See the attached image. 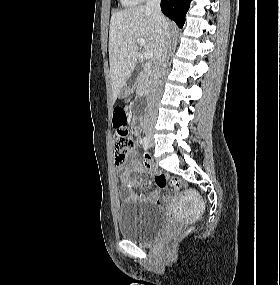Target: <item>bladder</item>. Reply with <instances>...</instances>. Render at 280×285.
Wrapping results in <instances>:
<instances>
[{
	"instance_id": "31cf9c89",
	"label": "bladder",
	"mask_w": 280,
	"mask_h": 285,
	"mask_svg": "<svg viewBox=\"0 0 280 285\" xmlns=\"http://www.w3.org/2000/svg\"><path fill=\"white\" fill-rule=\"evenodd\" d=\"M121 237L144 244L157 236L166 223L161 210L143 200H129L117 210Z\"/></svg>"
}]
</instances>
